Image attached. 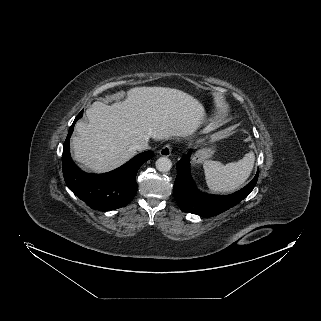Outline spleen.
Returning a JSON list of instances; mask_svg holds the SVG:
<instances>
[{"label":"spleen","mask_w":321,"mask_h":321,"mask_svg":"<svg viewBox=\"0 0 321 321\" xmlns=\"http://www.w3.org/2000/svg\"><path fill=\"white\" fill-rule=\"evenodd\" d=\"M255 161L253 152L237 162L224 165L219 161H205L203 164L208 188L214 192H231L239 188L250 176Z\"/></svg>","instance_id":"1"}]
</instances>
